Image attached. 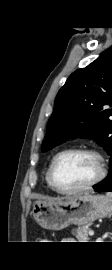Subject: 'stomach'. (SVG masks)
<instances>
[{
	"label": "stomach",
	"mask_w": 112,
	"mask_h": 270,
	"mask_svg": "<svg viewBox=\"0 0 112 270\" xmlns=\"http://www.w3.org/2000/svg\"><path fill=\"white\" fill-rule=\"evenodd\" d=\"M36 222L49 230H61L70 224L84 226L112 214V199L84 193L67 200H39L32 210Z\"/></svg>",
	"instance_id": "1"
}]
</instances>
